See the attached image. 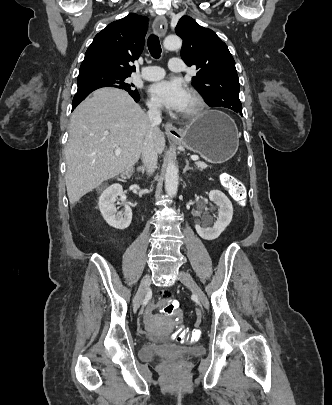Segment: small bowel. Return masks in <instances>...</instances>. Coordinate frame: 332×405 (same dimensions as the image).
I'll list each match as a JSON object with an SVG mask.
<instances>
[{
	"label": "small bowel",
	"instance_id": "small-bowel-1",
	"mask_svg": "<svg viewBox=\"0 0 332 405\" xmlns=\"http://www.w3.org/2000/svg\"><path fill=\"white\" fill-rule=\"evenodd\" d=\"M159 295L161 297H170L172 295V290L170 288H161L159 290ZM154 306H155L154 304H151L149 306V309H148L149 312L147 315L148 319H150V311L154 308ZM154 340H155L156 344H164L166 339H165L164 335H156Z\"/></svg>",
	"mask_w": 332,
	"mask_h": 405
}]
</instances>
